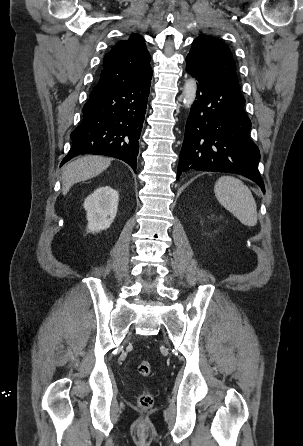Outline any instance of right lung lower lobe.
Returning a JSON list of instances; mask_svg holds the SVG:
<instances>
[{"mask_svg":"<svg viewBox=\"0 0 303 446\" xmlns=\"http://www.w3.org/2000/svg\"><path fill=\"white\" fill-rule=\"evenodd\" d=\"M151 77L90 96L61 166L80 154H99L121 159L136 171Z\"/></svg>","mask_w":303,"mask_h":446,"instance_id":"1","label":"right lung lower lobe"}]
</instances>
